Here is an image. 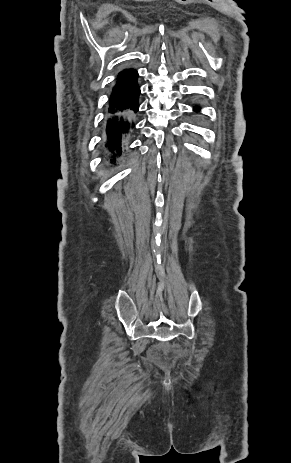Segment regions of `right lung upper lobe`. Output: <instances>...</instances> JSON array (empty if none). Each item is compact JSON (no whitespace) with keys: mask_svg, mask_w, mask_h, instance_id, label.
Instances as JSON below:
<instances>
[{"mask_svg":"<svg viewBox=\"0 0 291 463\" xmlns=\"http://www.w3.org/2000/svg\"><path fill=\"white\" fill-rule=\"evenodd\" d=\"M136 72V70L134 69H125L123 70L122 72L119 73V75H122V74H126V75H129V74H132ZM121 92V89L119 88H114L112 93H111V96L114 97V96H117L119 93Z\"/></svg>","mask_w":291,"mask_h":463,"instance_id":"right-lung-upper-lobe-1","label":"right lung upper lobe"}]
</instances>
